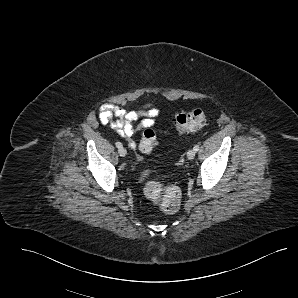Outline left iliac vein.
Returning a JSON list of instances; mask_svg holds the SVG:
<instances>
[{
	"instance_id": "4c4485c4",
	"label": "left iliac vein",
	"mask_w": 298,
	"mask_h": 298,
	"mask_svg": "<svg viewBox=\"0 0 298 298\" xmlns=\"http://www.w3.org/2000/svg\"><path fill=\"white\" fill-rule=\"evenodd\" d=\"M195 155H196V151H195L194 149H190V150L187 152V158H188L189 160L194 159Z\"/></svg>"
}]
</instances>
